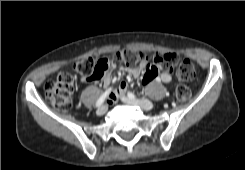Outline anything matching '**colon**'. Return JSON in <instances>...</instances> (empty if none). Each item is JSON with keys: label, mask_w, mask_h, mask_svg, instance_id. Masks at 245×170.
<instances>
[{"label": "colon", "mask_w": 245, "mask_h": 170, "mask_svg": "<svg viewBox=\"0 0 245 170\" xmlns=\"http://www.w3.org/2000/svg\"><path fill=\"white\" fill-rule=\"evenodd\" d=\"M122 63L125 67L136 69L140 67H156L164 65L173 68L175 76L180 81H190L194 77V67L191 63L180 60L174 53H167L163 56L148 55L143 52H133L129 50L97 61L83 60L77 66V71L87 80L93 81L100 79L108 70L117 63ZM150 71L151 73L153 71ZM75 84V77L63 73L45 84V98L59 111H69L71 109V94ZM178 97L183 100L190 95L189 89L181 85L178 87Z\"/></svg>", "instance_id": "1"}]
</instances>
